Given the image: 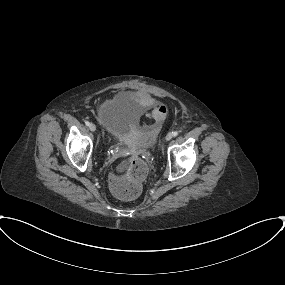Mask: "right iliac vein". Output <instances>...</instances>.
<instances>
[{
	"label": "right iliac vein",
	"mask_w": 285,
	"mask_h": 285,
	"mask_svg": "<svg viewBox=\"0 0 285 285\" xmlns=\"http://www.w3.org/2000/svg\"><path fill=\"white\" fill-rule=\"evenodd\" d=\"M89 128L91 131H96V125L94 123H90Z\"/></svg>",
	"instance_id": "right-iliac-vein-1"
}]
</instances>
